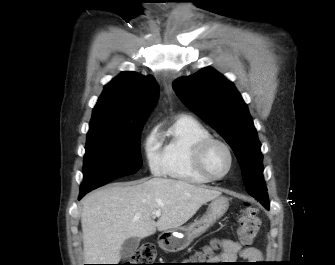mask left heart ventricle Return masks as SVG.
I'll return each instance as SVG.
<instances>
[{"instance_id":"obj_1","label":"left heart ventricle","mask_w":335,"mask_h":265,"mask_svg":"<svg viewBox=\"0 0 335 265\" xmlns=\"http://www.w3.org/2000/svg\"><path fill=\"white\" fill-rule=\"evenodd\" d=\"M204 163L211 174L220 176L228 169L229 157L221 145L213 144L205 154Z\"/></svg>"}]
</instances>
